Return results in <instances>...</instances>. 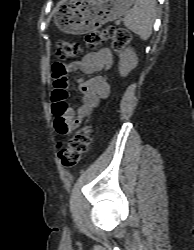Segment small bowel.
I'll return each mask as SVG.
<instances>
[{
    "instance_id": "small-bowel-1",
    "label": "small bowel",
    "mask_w": 194,
    "mask_h": 250,
    "mask_svg": "<svg viewBox=\"0 0 194 250\" xmlns=\"http://www.w3.org/2000/svg\"><path fill=\"white\" fill-rule=\"evenodd\" d=\"M113 55L110 49L103 48L96 52L85 54L79 61L69 64L57 63L53 67L54 92H64L68 96L66 75L72 71L93 74L97 71L109 69ZM79 89L83 93L80 105L74 109L61 100V109L53 111L56 117L55 129L59 135L70 136L87 118H89L101 98L109 94V84L103 76H95L89 80H80Z\"/></svg>"
}]
</instances>
